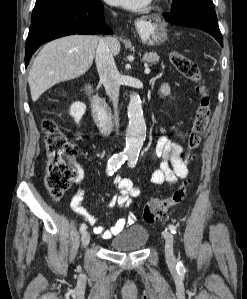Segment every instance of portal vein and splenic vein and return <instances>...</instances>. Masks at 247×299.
I'll use <instances>...</instances> for the list:
<instances>
[{"label": "portal vein and splenic vein", "mask_w": 247, "mask_h": 299, "mask_svg": "<svg viewBox=\"0 0 247 299\" xmlns=\"http://www.w3.org/2000/svg\"><path fill=\"white\" fill-rule=\"evenodd\" d=\"M150 73V68L148 66H146L145 68V74H149Z\"/></svg>", "instance_id": "1"}]
</instances>
